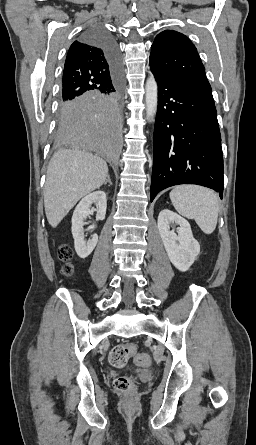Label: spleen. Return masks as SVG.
<instances>
[{"instance_id": "spleen-1", "label": "spleen", "mask_w": 256, "mask_h": 445, "mask_svg": "<svg viewBox=\"0 0 256 445\" xmlns=\"http://www.w3.org/2000/svg\"><path fill=\"white\" fill-rule=\"evenodd\" d=\"M176 211L188 219H194L201 230L211 234L217 225L219 199L210 189L194 185H181L170 192Z\"/></svg>"}]
</instances>
